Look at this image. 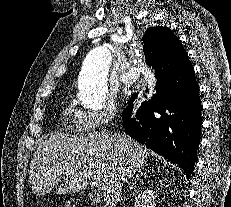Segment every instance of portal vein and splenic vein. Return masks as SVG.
I'll return each instance as SVG.
<instances>
[{
	"label": "portal vein and splenic vein",
	"instance_id": "18ae733b",
	"mask_svg": "<svg viewBox=\"0 0 231 207\" xmlns=\"http://www.w3.org/2000/svg\"><path fill=\"white\" fill-rule=\"evenodd\" d=\"M91 185L97 189H101V185L97 181H93Z\"/></svg>",
	"mask_w": 231,
	"mask_h": 207
}]
</instances>
